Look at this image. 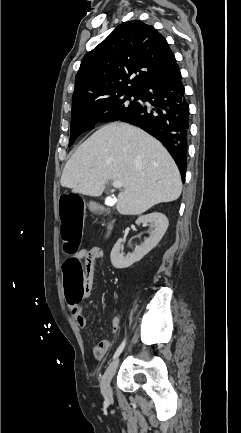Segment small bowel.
<instances>
[{"mask_svg":"<svg viewBox=\"0 0 241 433\" xmlns=\"http://www.w3.org/2000/svg\"><path fill=\"white\" fill-rule=\"evenodd\" d=\"M103 256V251L99 247H92L80 252L78 261L85 260L84 277H85V293L89 295L92 290L93 278L98 260ZM70 314L76 322V325L81 330H87L88 321L83 314L82 308L79 305H68ZM121 325V315L117 313L112 320L113 332L117 333ZM111 348L109 340H102L93 346V356L96 360L101 361Z\"/></svg>","mask_w":241,"mask_h":433,"instance_id":"c3829d8e","label":"small bowel"}]
</instances>
